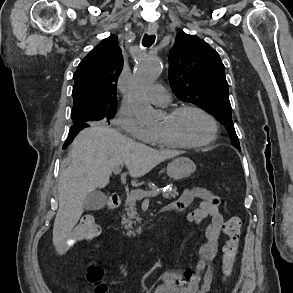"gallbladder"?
<instances>
[{"label":"gallbladder","mask_w":293,"mask_h":293,"mask_svg":"<svg viewBox=\"0 0 293 293\" xmlns=\"http://www.w3.org/2000/svg\"><path fill=\"white\" fill-rule=\"evenodd\" d=\"M107 202V196L101 191L89 193L83 202V208L88 211H96L102 209Z\"/></svg>","instance_id":"1"}]
</instances>
